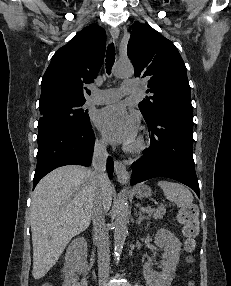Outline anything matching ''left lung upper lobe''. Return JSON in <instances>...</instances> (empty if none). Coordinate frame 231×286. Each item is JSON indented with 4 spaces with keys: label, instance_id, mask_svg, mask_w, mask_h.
I'll use <instances>...</instances> for the list:
<instances>
[{
    "label": "left lung upper lobe",
    "instance_id": "obj_1",
    "mask_svg": "<svg viewBox=\"0 0 231 286\" xmlns=\"http://www.w3.org/2000/svg\"><path fill=\"white\" fill-rule=\"evenodd\" d=\"M135 77L148 80L153 93L139 103L145 120L159 108L192 111L190 86L185 64L175 45L148 24L135 23L127 46Z\"/></svg>",
    "mask_w": 231,
    "mask_h": 286
}]
</instances>
